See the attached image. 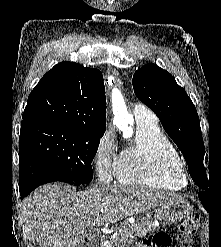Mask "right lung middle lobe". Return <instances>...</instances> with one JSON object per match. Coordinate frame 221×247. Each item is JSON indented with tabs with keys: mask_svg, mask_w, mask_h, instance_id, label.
<instances>
[{
	"mask_svg": "<svg viewBox=\"0 0 221 247\" xmlns=\"http://www.w3.org/2000/svg\"><path fill=\"white\" fill-rule=\"evenodd\" d=\"M101 137L73 125L28 127L20 132V156H33L74 182L88 184L93 178L91 163Z\"/></svg>",
	"mask_w": 221,
	"mask_h": 247,
	"instance_id": "right-lung-middle-lobe-1",
	"label": "right lung middle lobe"
}]
</instances>
